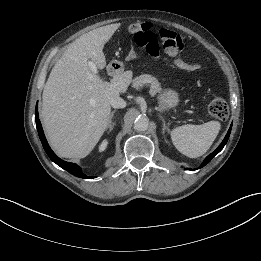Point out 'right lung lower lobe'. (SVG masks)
Instances as JSON below:
<instances>
[{
    "instance_id": "right-lung-lower-lobe-1",
    "label": "right lung lower lobe",
    "mask_w": 261,
    "mask_h": 261,
    "mask_svg": "<svg viewBox=\"0 0 261 261\" xmlns=\"http://www.w3.org/2000/svg\"><path fill=\"white\" fill-rule=\"evenodd\" d=\"M35 117H36V127H37V130H38L40 140H41L42 145L44 147V150L46 151L49 158L54 163H56L58 166L65 169L66 171H68L69 173H71L74 176H77V177H80V178H93V177L86 176L85 174H83L82 171H81V168L78 165L61 160L51 150V148L49 147L47 140L45 138V135H44V132H43V129H42L39 117H38L37 105H36V110H35Z\"/></svg>"
}]
</instances>
